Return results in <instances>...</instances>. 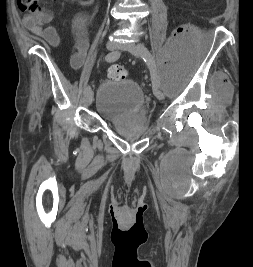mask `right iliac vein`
I'll use <instances>...</instances> for the list:
<instances>
[{
  "label": "right iliac vein",
  "instance_id": "right-iliac-vein-1",
  "mask_svg": "<svg viewBox=\"0 0 253 267\" xmlns=\"http://www.w3.org/2000/svg\"><path fill=\"white\" fill-rule=\"evenodd\" d=\"M118 46H119V44L116 43L115 41H109L106 44V48L109 51H113V50L117 49ZM85 99H86V104L87 105H90L92 103V100H93V92L91 90L85 94Z\"/></svg>",
  "mask_w": 253,
  "mask_h": 267
}]
</instances>
